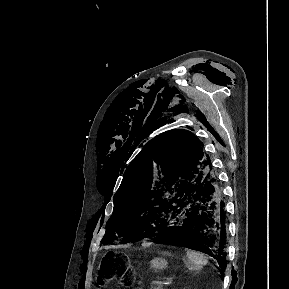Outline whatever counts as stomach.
<instances>
[{
	"instance_id": "1",
	"label": "stomach",
	"mask_w": 289,
	"mask_h": 289,
	"mask_svg": "<svg viewBox=\"0 0 289 289\" xmlns=\"http://www.w3.org/2000/svg\"><path fill=\"white\" fill-rule=\"evenodd\" d=\"M167 264V261L162 257H156L150 261L151 268L156 271L165 269L167 267Z\"/></svg>"
}]
</instances>
